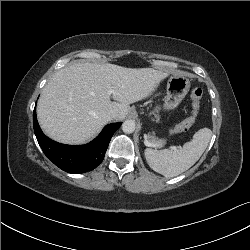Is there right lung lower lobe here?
<instances>
[{
    "label": "right lung lower lobe",
    "instance_id": "right-lung-lower-lobe-1",
    "mask_svg": "<svg viewBox=\"0 0 250 250\" xmlns=\"http://www.w3.org/2000/svg\"><path fill=\"white\" fill-rule=\"evenodd\" d=\"M122 123H111L104 127L92 142L81 146L57 143L43 134L34 109L33 127L38 143L47 156L60 169L71 173H85L95 169L104 159L108 144L114 132Z\"/></svg>",
    "mask_w": 250,
    "mask_h": 250
}]
</instances>
